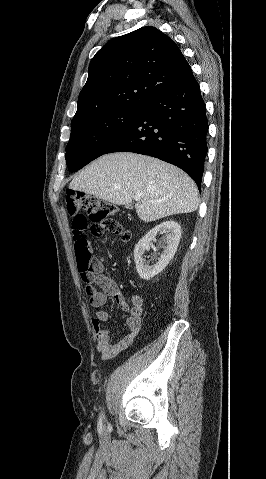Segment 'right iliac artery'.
<instances>
[{"label": "right iliac artery", "mask_w": 266, "mask_h": 479, "mask_svg": "<svg viewBox=\"0 0 266 479\" xmlns=\"http://www.w3.org/2000/svg\"><path fill=\"white\" fill-rule=\"evenodd\" d=\"M102 418H103V416L101 415V416H100V420H99V423H100L101 425H102Z\"/></svg>", "instance_id": "right-iliac-artery-1"}]
</instances>
